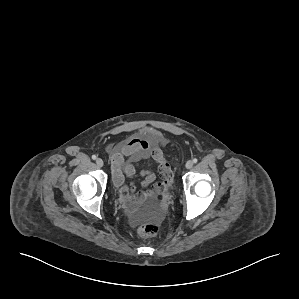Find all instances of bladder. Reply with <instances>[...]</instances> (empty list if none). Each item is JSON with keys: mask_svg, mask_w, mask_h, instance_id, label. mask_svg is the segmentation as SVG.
<instances>
[{"mask_svg": "<svg viewBox=\"0 0 299 299\" xmlns=\"http://www.w3.org/2000/svg\"><path fill=\"white\" fill-rule=\"evenodd\" d=\"M158 139H159V136L155 139V142H157L158 141Z\"/></svg>", "mask_w": 299, "mask_h": 299, "instance_id": "bladder-1", "label": "bladder"}]
</instances>
